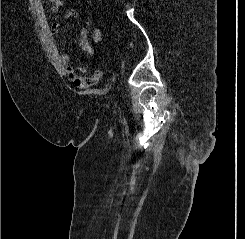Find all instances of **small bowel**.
Masks as SVG:
<instances>
[{
  "label": "small bowel",
  "instance_id": "obj_1",
  "mask_svg": "<svg viewBox=\"0 0 245 239\" xmlns=\"http://www.w3.org/2000/svg\"><path fill=\"white\" fill-rule=\"evenodd\" d=\"M53 1L54 2L51 3V10L52 12L57 13L65 5V2L64 0ZM78 16L79 12L75 8L69 9L65 15L67 19H75ZM59 26L60 25L58 22L53 24L52 30L54 33L58 31ZM95 37L98 38L99 34L95 33ZM79 45L90 56L95 55V49L85 32L81 34ZM61 61L65 66L66 74L78 88L84 89L91 87L98 83L99 80L103 77L104 72L100 65H98L91 73L88 74L84 68H76L72 62L71 57L67 54L61 55Z\"/></svg>",
  "mask_w": 245,
  "mask_h": 239
}]
</instances>
